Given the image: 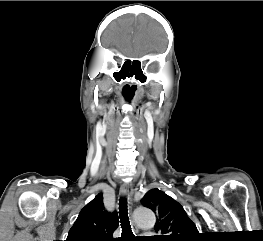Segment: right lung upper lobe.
Here are the masks:
<instances>
[{"label":"right lung upper lobe","instance_id":"right-lung-upper-lobe-1","mask_svg":"<svg viewBox=\"0 0 263 241\" xmlns=\"http://www.w3.org/2000/svg\"><path fill=\"white\" fill-rule=\"evenodd\" d=\"M117 227V213L105 209L99 193L81 210L66 241H115L112 236Z\"/></svg>","mask_w":263,"mask_h":241}]
</instances>
